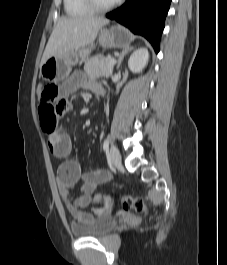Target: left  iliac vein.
<instances>
[{"instance_id":"4c4485c4","label":"left iliac vein","mask_w":227,"mask_h":265,"mask_svg":"<svg viewBox=\"0 0 227 265\" xmlns=\"http://www.w3.org/2000/svg\"><path fill=\"white\" fill-rule=\"evenodd\" d=\"M110 159L114 167H118L121 165V155L119 150L115 146H111L110 148Z\"/></svg>"}]
</instances>
